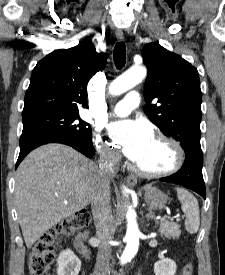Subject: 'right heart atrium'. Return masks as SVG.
I'll return each mask as SVG.
<instances>
[{"mask_svg": "<svg viewBox=\"0 0 225 275\" xmlns=\"http://www.w3.org/2000/svg\"><path fill=\"white\" fill-rule=\"evenodd\" d=\"M94 142L105 162L112 164L118 162V154L114 151L109 142L104 141L103 135L98 131L95 133Z\"/></svg>", "mask_w": 225, "mask_h": 275, "instance_id": "obj_1", "label": "right heart atrium"}]
</instances>
